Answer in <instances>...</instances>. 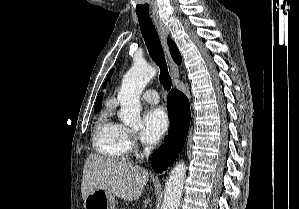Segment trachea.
I'll return each mask as SVG.
<instances>
[{
    "instance_id": "1",
    "label": "trachea",
    "mask_w": 299,
    "mask_h": 209,
    "mask_svg": "<svg viewBox=\"0 0 299 209\" xmlns=\"http://www.w3.org/2000/svg\"><path fill=\"white\" fill-rule=\"evenodd\" d=\"M138 21L140 24V30L144 38L145 44L148 48L149 54L152 60L160 68V82L165 90L171 89V79L168 74L167 64L164 58V53L159 36L153 25L150 17L138 16Z\"/></svg>"
}]
</instances>
